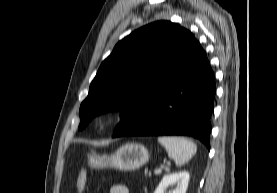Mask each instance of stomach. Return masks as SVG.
<instances>
[{
    "instance_id": "0dacf381",
    "label": "stomach",
    "mask_w": 277,
    "mask_h": 193,
    "mask_svg": "<svg viewBox=\"0 0 277 193\" xmlns=\"http://www.w3.org/2000/svg\"><path fill=\"white\" fill-rule=\"evenodd\" d=\"M149 151L138 143H127L111 155H89L88 164L92 168H114L121 171H133L149 160Z\"/></svg>"
}]
</instances>
